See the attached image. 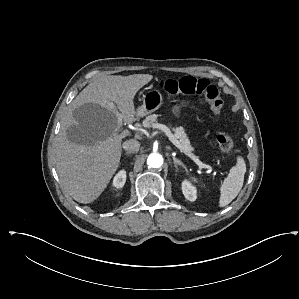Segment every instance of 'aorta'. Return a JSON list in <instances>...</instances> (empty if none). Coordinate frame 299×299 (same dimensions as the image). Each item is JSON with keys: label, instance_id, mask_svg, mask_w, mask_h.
Listing matches in <instances>:
<instances>
[{"label": "aorta", "instance_id": "1", "mask_svg": "<svg viewBox=\"0 0 299 299\" xmlns=\"http://www.w3.org/2000/svg\"><path fill=\"white\" fill-rule=\"evenodd\" d=\"M147 164L151 168H160L163 165V157L159 153H151L147 158Z\"/></svg>", "mask_w": 299, "mask_h": 299}]
</instances>
